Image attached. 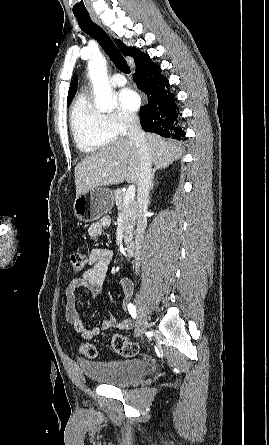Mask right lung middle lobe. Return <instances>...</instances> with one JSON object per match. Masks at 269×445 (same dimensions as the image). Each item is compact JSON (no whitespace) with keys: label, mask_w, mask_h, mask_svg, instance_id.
I'll return each mask as SVG.
<instances>
[{"label":"right lung middle lobe","mask_w":269,"mask_h":445,"mask_svg":"<svg viewBox=\"0 0 269 445\" xmlns=\"http://www.w3.org/2000/svg\"><path fill=\"white\" fill-rule=\"evenodd\" d=\"M70 102H71V101L69 100V101H68V106H69Z\"/></svg>","instance_id":"1"}]
</instances>
